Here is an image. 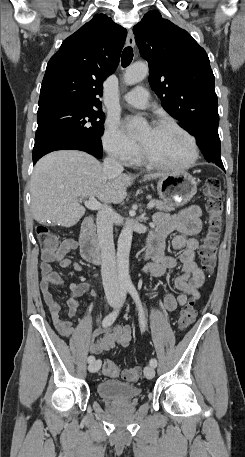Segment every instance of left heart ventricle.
Instances as JSON below:
<instances>
[{
  "label": "left heart ventricle",
  "instance_id": "b2bd125f",
  "mask_svg": "<svg viewBox=\"0 0 245 457\" xmlns=\"http://www.w3.org/2000/svg\"><path fill=\"white\" fill-rule=\"evenodd\" d=\"M137 142L145 154L172 165L185 163L190 156L189 140L174 128H147Z\"/></svg>",
  "mask_w": 245,
  "mask_h": 457
}]
</instances>
